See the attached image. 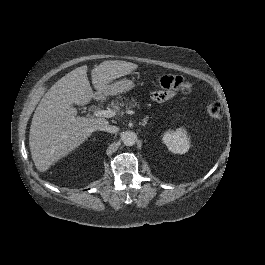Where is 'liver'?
<instances>
[{
	"label": "liver",
	"instance_id": "6515ba94",
	"mask_svg": "<svg viewBox=\"0 0 265 265\" xmlns=\"http://www.w3.org/2000/svg\"><path fill=\"white\" fill-rule=\"evenodd\" d=\"M136 64L126 61H105L91 70L95 88L104 92L106 84L130 73ZM93 96L87 67H78L59 79L42 97L34 112L29 134L33 161L39 171L46 170L59 157L81 144L103 118L83 117L71 103L82 105Z\"/></svg>",
	"mask_w": 265,
	"mask_h": 265
}]
</instances>
